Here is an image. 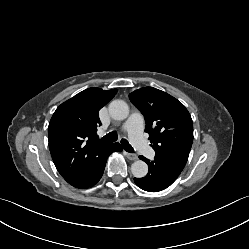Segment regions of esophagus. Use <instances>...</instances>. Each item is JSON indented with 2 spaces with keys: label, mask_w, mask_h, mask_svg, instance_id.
<instances>
[{
  "label": "esophagus",
  "mask_w": 249,
  "mask_h": 249,
  "mask_svg": "<svg viewBox=\"0 0 249 249\" xmlns=\"http://www.w3.org/2000/svg\"><path fill=\"white\" fill-rule=\"evenodd\" d=\"M124 154L126 155V157H127L129 160H137V159H138V156H137L136 154L128 153V152H124Z\"/></svg>",
  "instance_id": "esophagus-1"
}]
</instances>
